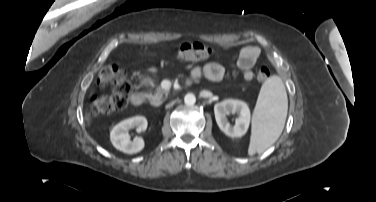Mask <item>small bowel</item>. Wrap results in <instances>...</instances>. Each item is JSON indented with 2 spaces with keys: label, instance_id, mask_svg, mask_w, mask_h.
Listing matches in <instances>:
<instances>
[{
  "label": "small bowel",
  "instance_id": "1",
  "mask_svg": "<svg viewBox=\"0 0 376 202\" xmlns=\"http://www.w3.org/2000/svg\"><path fill=\"white\" fill-rule=\"evenodd\" d=\"M260 49L254 46L245 47L239 54L238 66L243 70V78L249 81L253 78L251 68L260 56ZM206 77L211 81H220L225 77V70L219 63L211 62L204 66H194L190 71V81L200 77Z\"/></svg>",
  "mask_w": 376,
  "mask_h": 202
}]
</instances>
